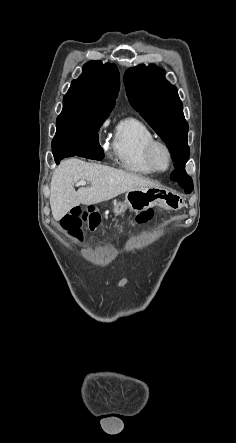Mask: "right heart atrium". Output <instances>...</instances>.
I'll return each mask as SVG.
<instances>
[{
  "mask_svg": "<svg viewBox=\"0 0 236 443\" xmlns=\"http://www.w3.org/2000/svg\"><path fill=\"white\" fill-rule=\"evenodd\" d=\"M107 125H108V120H105V121L100 125V127H99V132L101 133L102 131H104L105 128L107 127Z\"/></svg>",
  "mask_w": 236,
  "mask_h": 443,
  "instance_id": "d8ad5b80",
  "label": "right heart atrium"
}]
</instances>
